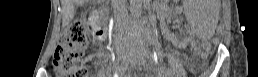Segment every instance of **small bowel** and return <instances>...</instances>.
Masks as SVG:
<instances>
[{"instance_id": "small-bowel-1", "label": "small bowel", "mask_w": 258, "mask_h": 77, "mask_svg": "<svg viewBox=\"0 0 258 77\" xmlns=\"http://www.w3.org/2000/svg\"><path fill=\"white\" fill-rule=\"evenodd\" d=\"M187 43H188V40H184V41L178 42V44L180 46L186 45Z\"/></svg>"}]
</instances>
